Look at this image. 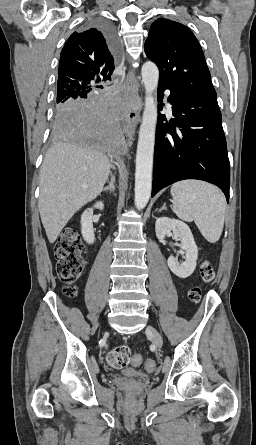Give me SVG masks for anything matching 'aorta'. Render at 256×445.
<instances>
[{"label":"aorta","mask_w":256,"mask_h":445,"mask_svg":"<svg viewBox=\"0 0 256 445\" xmlns=\"http://www.w3.org/2000/svg\"><path fill=\"white\" fill-rule=\"evenodd\" d=\"M145 87V108L139 130L135 170V206L142 210L147 205L152 189L153 154L157 124L156 91L159 70L153 62H145L141 69Z\"/></svg>","instance_id":"aorta-1"}]
</instances>
